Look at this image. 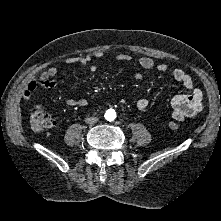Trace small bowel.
<instances>
[{
  "instance_id": "c3829d8e",
  "label": "small bowel",
  "mask_w": 221,
  "mask_h": 221,
  "mask_svg": "<svg viewBox=\"0 0 221 221\" xmlns=\"http://www.w3.org/2000/svg\"><path fill=\"white\" fill-rule=\"evenodd\" d=\"M95 58L102 59L104 54L102 52H97ZM119 60L129 61L131 57L129 55H119L117 57ZM66 63L69 65L80 64L83 66L88 72L94 73L97 70V67L91 63L90 56L84 57H76L72 56L66 60ZM139 65L144 70H149L156 68L158 71L162 73L170 72L171 76L175 81L182 84L184 88L189 92L187 95H178L172 99V108H173V117L175 119H183L185 117L192 116L203 110V93L202 91L195 85L192 77L185 72L181 68H174L172 70L165 63H156L153 58L149 56H143L139 58ZM60 68L58 66H51L42 74L31 81L27 87L24 89L22 93V98L24 101H29L34 93L40 89H50L54 90L57 88L58 83L53 78L59 73ZM135 78L140 80L143 78L142 73L137 72L135 74ZM64 103L68 106H83L86 104V100L80 99L75 100L71 98H66L63 100ZM137 108L140 111H145L149 102L147 99L141 98L137 101ZM39 107V106H37Z\"/></svg>"
}]
</instances>
